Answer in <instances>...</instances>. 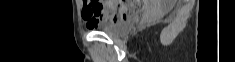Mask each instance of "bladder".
Returning <instances> with one entry per match:
<instances>
[{
    "instance_id": "31cf9c89",
    "label": "bladder",
    "mask_w": 235,
    "mask_h": 62,
    "mask_svg": "<svg viewBox=\"0 0 235 62\" xmlns=\"http://www.w3.org/2000/svg\"><path fill=\"white\" fill-rule=\"evenodd\" d=\"M136 21H137V15L132 14L124 20H120L115 23L101 25L98 30L108 36L117 37L128 33L131 30V28L134 26Z\"/></svg>"
}]
</instances>
